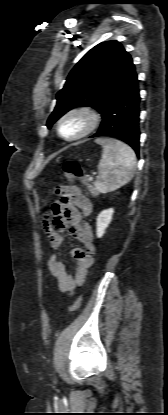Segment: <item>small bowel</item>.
Segmentation results:
<instances>
[{"instance_id": "small-bowel-1", "label": "small bowel", "mask_w": 168, "mask_h": 415, "mask_svg": "<svg viewBox=\"0 0 168 415\" xmlns=\"http://www.w3.org/2000/svg\"><path fill=\"white\" fill-rule=\"evenodd\" d=\"M53 194L54 197L60 198L51 207L53 224L56 225L59 231H64L70 227L71 234L83 246V248H74L71 251L72 257L77 262L73 275L68 272L56 253L47 261V268L56 279L58 289L62 293L71 294L84 283L88 269L93 264V255L96 251L93 232L91 226L83 222V219L91 214L92 204L75 186L54 188ZM45 231L52 249L56 252L62 245L63 236L47 222H45Z\"/></svg>"}]
</instances>
